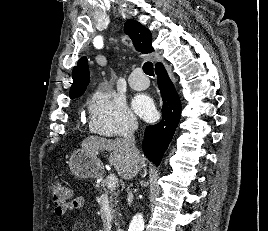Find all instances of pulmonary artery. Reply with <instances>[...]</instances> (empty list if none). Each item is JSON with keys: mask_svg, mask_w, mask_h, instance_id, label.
Masks as SVG:
<instances>
[{"mask_svg": "<svg viewBox=\"0 0 268 231\" xmlns=\"http://www.w3.org/2000/svg\"><path fill=\"white\" fill-rule=\"evenodd\" d=\"M149 79L139 70L131 73L129 77V85L134 90H145L149 86Z\"/></svg>", "mask_w": 268, "mask_h": 231, "instance_id": "obj_1", "label": "pulmonary artery"}]
</instances>
